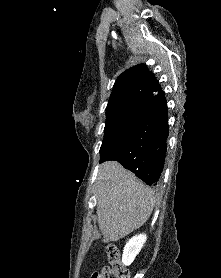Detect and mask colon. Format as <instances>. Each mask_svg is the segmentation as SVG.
Segmentation results:
<instances>
[{
    "mask_svg": "<svg viewBox=\"0 0 221 278\" xmlns=\"http://www.w3.org/2000/svg\"><path fill=\"white\" fill-rule=\"evenodd\" d=\"M106 250L110 266L93 273L91 278H129V272L121 262L118 248L110 244Z\"/></svg>",
    "mask_w": 221,
    "mask_h": 278,
    "instance_id": "5ec220e1",
    "label": "colon"
}]
</instances>
